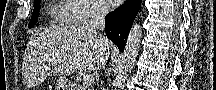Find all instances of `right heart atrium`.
Instances as JSON below:
<instances>
[{"mask_svg": "<svg viewBox=\"0 0 216 90\" xmlns=\"http://www.w3.org/2000/svg\"><path fill=\"white\" fill-rule=\"evenodd\" d=\"M65 3H73L74 6H82V11L77 16L78 20H97L103 14V7L95 0H65Z\"/></svg>", "mask_w": 216, "mask_h": 90, "instance_id": "1", "label": "right heart atrium"}]
</instances>
